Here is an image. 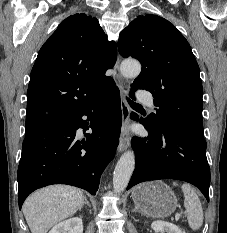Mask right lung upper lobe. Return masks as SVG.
I'll return each instance as SVG.
<instances>
[{"label": "right lung upper lobe", "instance_id": "1", "mask_svg": "<svg viewBox=\"0 0 227 233\" xmlns=\"http://www.w3.org/2000/svg\"><path fill=\"white\" fill-rule=\"evenodd\" d=\"M117 59L96 18H66L41 47L30 75L25 135L85 109L109 92L114 81L105 76Z\"/></svg>", "mask_w": 227, "mask_h": 233}]
</instances>
